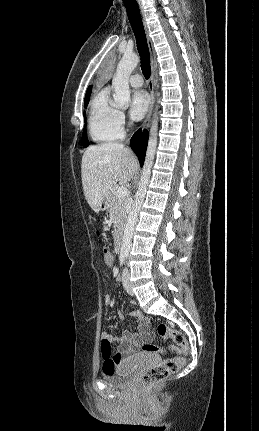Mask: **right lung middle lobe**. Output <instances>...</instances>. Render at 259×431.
Segmentation results:
<instances>
[{
	"instance_id": "1",
	"label": "right lung middle lobe",
	"mask_w": 259,
	"mask_h": 431,
	"mask_svg": "<svg viewBox=\"0 0 259 431\" xmlns=\"http://www.w3.org/2000/svg\"><path fill=\"white\" fill-rule=\"evenodd\" d=\"M89 98H90V93L86 94V96H85V101H84V107H85V108H86V107H87V105H88ZM84 117H85V119H86L85 113H84ZM82 145H83V147H87V146L89 145V143H88V139H87V135H86V129H84V131H83V135H82Z\"/></svg>"
}]
</instances>
